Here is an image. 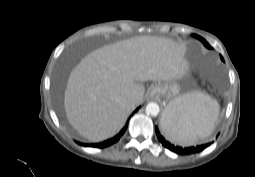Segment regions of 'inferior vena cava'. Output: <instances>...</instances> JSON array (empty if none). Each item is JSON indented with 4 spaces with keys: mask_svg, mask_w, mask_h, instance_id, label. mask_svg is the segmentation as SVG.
Returning <instances> with one entry per match:
<instances>
[{
    "mask_svg": "<svg viewBox=\"0 0 255 177\" xmlns=\"http://www.w3.org/2000/svg\"><path fill=\"white\" fill-rule=\"evenodd\" d=\"M129 103L134 104V99L133 98L129 99Z\"/></svg>",
    "mask_w": 255,
    "mask_h": 177,
    "instance_id": "obj_1",
    "label": "inferior vena cava"
}]
</instances>
